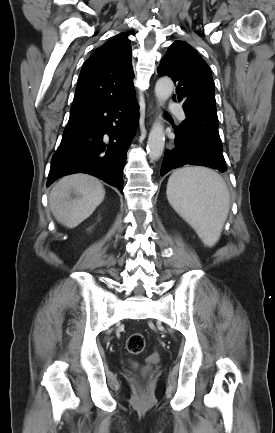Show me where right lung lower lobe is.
Returning <instances> with one entry per match:
<instances>
[{
    "mask_svg": "<svg viewBox=\"0 0 275 433\" xmlns=\"http://www.w3.org/2000/svg\"><path fill=\"white\" fill-rule=\"evenodd\" d=\"M137 121L134 94L72 112L52 157L47 186L62 176L86 173L123 193L122 171Z\"/></svg>",
    "mask_w": 275,
    "mask_h": 433,
    "instance_id": "98d812e1",
    "label": "right lung lower lobe"
}]
</instances>
